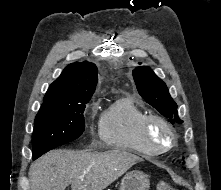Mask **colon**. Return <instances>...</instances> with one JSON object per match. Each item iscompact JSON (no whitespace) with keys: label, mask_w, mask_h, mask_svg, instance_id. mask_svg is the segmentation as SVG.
Listing matches in <instances>:
<instances>
[{"label":"colon","mask_w":221,"mask_h":190,"mask_svg":"<svg viewBox=\"0 0 221 190\" xmlns=\"http://www.w3.org/2000/svg\"><path fill=\"white\" fill-rule=\"evenodd\" d=\"M156 190H178L172 185L166 183V182H159L156 186Z\"/></svg>","instance_id":"5ec220e1"}]
</instances>
